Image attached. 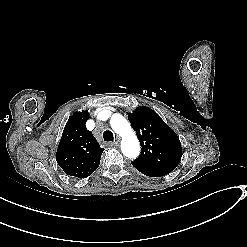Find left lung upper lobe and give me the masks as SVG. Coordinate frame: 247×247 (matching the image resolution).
Returning <instances> with one entry per match:
<instances>
[{
    "instance_id": "obj_1",
    "label": "left lung upper lobe",
    "mask_w": 247,
    "mask_h": 247,
    "mask_svg": "<svg viewBox=\"0 0 247 247\" xmlns=\"http://www.w3.org/2000/svg\"><path fill=\"white\" fill-rule=\"evenodd\" d=\"M141 144V154L132 163L173 171L181 160L179 137L152 109L140 106L128 114Z\"/></svg>"
}]
</instances>
